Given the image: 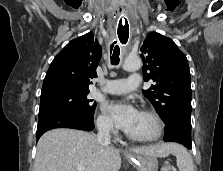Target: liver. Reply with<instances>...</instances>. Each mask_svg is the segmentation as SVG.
<instances>
[{"label":"liver","mask_w":223,"mask_h":171,"mask_svg":"<svg viewBox=\"0 0 223 171\" xmlns=\"http://www.w3.org/2000/svg\"><path fill=\"white\" fill-rule=\"evenodd\" d=\"M173 150L174 144L166 143L131 149L136 154L160 158ZM79 165L85 171H119L120 150L100 145L93 134L74 129H53L39 139L34 171H76Z\"/></svg>","instance_id":"obj_1"}]
</instances>
